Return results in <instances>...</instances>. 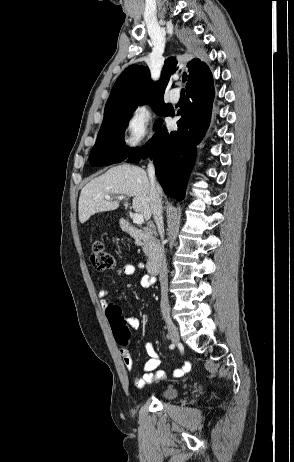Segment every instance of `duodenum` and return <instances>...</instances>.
<instances>
[{"instance_id": "1", "label": "duodenum", "mask_w": 294, "mask_h": 462, "mask_svg": "<svg viewBox=\"0 0 294 462\" xmlns=\"http://www.w3.org/2000/svg\"><path fill=\"white\" fill-rule=\"evenodd\" d=\"M120 225L124 232L149 248L150 254L148 257L147 268L150 274L156 275L161 269L165 252L163 246L156 236L155 229L153 227H148L144 230H141L130 225L125 218L120 219Z\"/></svg>"}]
</instances>
